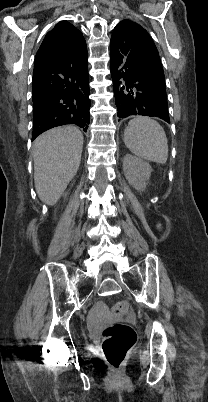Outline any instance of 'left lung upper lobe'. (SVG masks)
<instances>
[{"label": "left lung upper lobe", "mask_w": 208, "mask_h": 402, "mask_svg": "<svg viewBox=\"0 0 208 402\" xmlns=\"http://www.w3.org/2000/svg\"><path fill=\"white\" fill-rule=\"evenodd\" d=\"M122 22L134 23L138 25L137 23L131 20H123ZM141 52H142L141 68L143 70L150 72L152 75H154L162 82H165L164 72L160 62L159 53L150 35L147 36L145 39H143L141 43Z\"/></svg>", "instance_id": "obj_1"}]
</instances>
